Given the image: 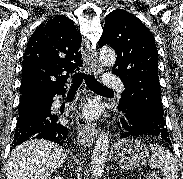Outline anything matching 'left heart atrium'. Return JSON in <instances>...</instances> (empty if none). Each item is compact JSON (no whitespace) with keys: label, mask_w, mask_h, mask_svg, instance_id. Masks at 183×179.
Wrapping results in <instances>:
<instances>
[{"label":"left heart atrium","mask_w":183,"mask_h":179,"mask_svg":"<svg viewBox=\"0 0 183 179\" xmlns=\"http://www.w3.org/2000/svg\"><path fill=\"white\" fill-rule=\"evenodd\" d=\"M83 113L86 117L93 118L98 115V108L95 104H89L84 108Z\"/></svg>","instance_id":"39dd6f15"}]
</instances>
